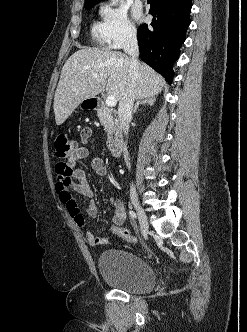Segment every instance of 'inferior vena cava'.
<instances>
[{"label":"inferior vena cava","mask_w":247,"mask_h":332,"mask_svg":"<svg viewBox=\"0 0 247 332\" xmlns=\"http://www.w3.org/2000/svg\"><path fill=\"white\" fill-rule=\"evenodd\" d=\"M123 50L130 56V67L129 73L131 82L128 86L126 94L123 96L119 103L118 107V118L120 121L121 129L123 130L125 135H128L129 130V122L132 119V110L134 101L136 99V89H135V81L139 76V62H138V42L136 36L135 29H128L125 34V40L123 43ZM130 197L131 199H136L137 194L134 185L131 186L130 189Z\"/></svg>","instance_id":"inferior-vena-cava-1"}]
</instances>
